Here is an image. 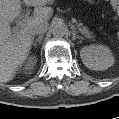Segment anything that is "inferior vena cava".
I'll use <instances>...</instances> for the list:
<instances>
[{
	"mask_svg": "<svg viewBox=\"0 0 119 119\" xmlns=\"http://www.w3.org/2000/svg\"><path fill=\"white\" fill-rule=\"evenodd\" d=\"M48 30V23L45 22V23H40L38 25H36L33 30H32V33L34 35H37V34H44L46 31Z\"/></svg>",
	"mask_w": 119,
	"mask_h": 119,
	"instance_id": "1",
	"label": "inferior vena cava"
}]
</instances>
